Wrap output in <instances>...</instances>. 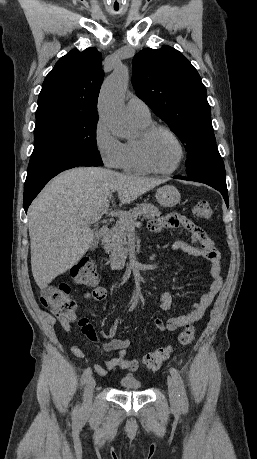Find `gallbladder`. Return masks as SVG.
Masks as SVG:
<instances>
[{"instance_id":"gallbladder-1","label":"gallbladder","mask_w":257,"mask_h":459,"mask_svg":"<svg viewBox=\"0 0 257 459\" xmlns=\"http://www.w3.org/2000/svg\"><path fill=\"white\" fill-rule=\"evenodd\" d=\"M97 244H98V237L96 236V237L94 238V240H93V242H92L90 248H91L92 250H94V249L97 247Z\"/></svg>"}]
</instances>
